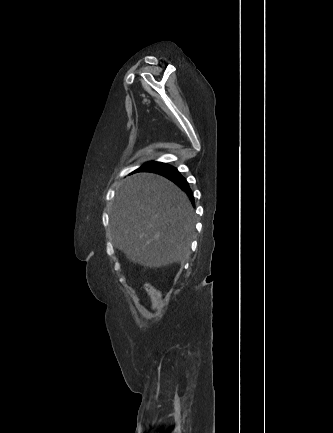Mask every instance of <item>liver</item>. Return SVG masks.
Listing matches in <instances>:
<instances>
[{"label": "liver", "mask_w": 333, "mask_h": 433, "mask_svg": "<svg viewBox=\"0 0 333 433\" xmlns=\"http://www.w3.org/2000/svg\"><path fill=\"white\" fill-rule=\"evenodd\" d=\"M110 224L115 247L129 260L159 268L187 259L194 211L171 181L136 173L116 190Z\"/></svg>", "instance_id": "obj_1"}]
</instances>
